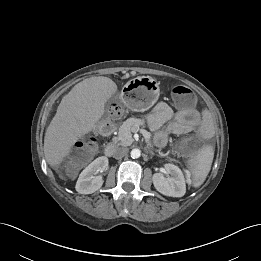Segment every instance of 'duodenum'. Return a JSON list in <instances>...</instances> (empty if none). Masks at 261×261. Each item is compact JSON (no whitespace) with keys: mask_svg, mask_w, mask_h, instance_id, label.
<instances>
[{"mask_svg":"<svg viewBox=\"0 0 261 261\" xmlns=\"http://www.w3.org/2000/svg\"><path fill=\"white\" fill-rule=\"evenodd\" d=\"M114 128V124L112 120H106L104 121L100 126V132L103 134L110 133ZM115 147L113 144H108L105 148V155L106 156H112L114 154Z\"/></svg>","mask_w":261,"mask_h":261,"instance_id":"obj_1","label":"duodenum"}]
</instances>
